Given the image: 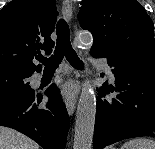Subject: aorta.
Wrapping results in <instances>:
<instances>
[{"mask_svg": "<svg viewBox=\"0 0 155 149\" xmlns=\"http://www.w3.org/2000/svg\"><path fill=\"white\" fill-rule=\"evenodd\" d=\"M78 45L90 48L93 37L89 32H81L76 40ZM96 118V96L86 78L82 85L76 112L73 149H91Z\"/></svg>", "mask_w": 155, "mask_h": 149, "instance_id": "1", "label": "aorta"}]
</instances>
